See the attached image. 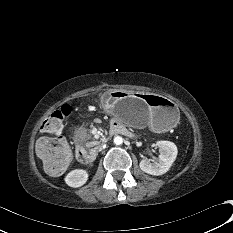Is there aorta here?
Returning <instances> with one entry per match:
<instances>
[{
	"label": "aorta",
	"instance_id": "1",
	"mask_svg": "<svg viewBox=\"0 0 233 233\" xmlns=\"http://www.w3.org/2000/svg\"><path fill=\"white\" fill-rule=\"evenodd\" d=\"M114 143H115L116 145H121V144L123 143V138H122L121 136H116V137L114 138Z\"/></svg>",
	"mask_w": 233,
	"mask_h": 233
}]
</instances>
